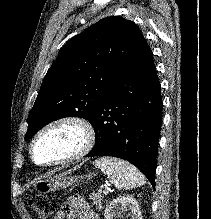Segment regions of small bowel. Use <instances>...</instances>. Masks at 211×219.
<instances>
[{
	"label": "small bowel",
	"mask_w": 211,
	"mask_h": 219,
	"mask_svg": "<svg viewBox=\"0 0 211 219\" xmlns=\"http://www.w3.org/2000/svg\"><path fill=\"white\" fill-rule=\"evenodd\" d=\"M53 219H99L90 208L84 197L76 195L70 197Z\"/></svg>",
	"instance_id": "1"
}]
</instances>
